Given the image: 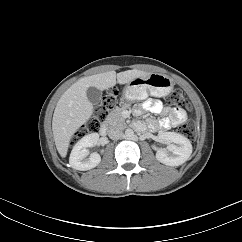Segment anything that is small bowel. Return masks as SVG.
Returning <instances> with one entry per match:
<instances>
[{
	"instance_id": "1",
	"label": "small bowel",
	"mask_w": 242,
	"mask_h": 242,
	"mask_svg": "<svg viewBox=\"0 0 242 242\" xmlns=\"http://www.w3.org/2000/svg\"><path fill=\"white\" fill-rule=\"evenodd\" d=\"M144 112H151L161 114L162 118L156 122L146 124L144 121H136L134 128L138 131H146L147 129L153 131H160L176 127L187 120V114L181 109L166 107L160 100H146L141 106L135 109L136 115H141Z\"/></svg>"
}]
</instances>
